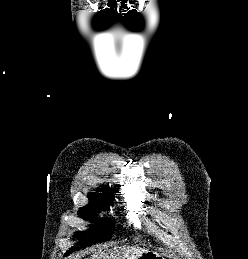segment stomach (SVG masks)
Segmentation results:
<instances>
[{
    "instance_id": "stomach-1",
    "label": "stomach",
    "mask_w": 248,
    "mask_h": 259,
    "mask_svg": "<svg viewBox=\"0 0 248 259\" xmlns=\"http://www.w3.org/2000/svg\"><path fill=\"white\" fill-rule=\"evenodd\" d=\"M136 259H165V258L156 251L146 250Z\"/></svg>"
}]
</instances>
